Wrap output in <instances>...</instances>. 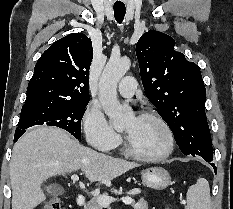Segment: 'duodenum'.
Masks as SVG:
<instances>
[{
	"instance_id": "obj_1",
	"label": "duodenum",
	"mask_w": 233,
	"mask_h": 209,
	"mask_svg": "<svg viewBox=\"0 0 233 209\" xmlns=\"http://www.w3.org/2000/svg\"><path fill=\"white\" fill-rule=\"evenodd\" d=\"M75 202H76V205H77V206L82 207V206L85 205L86 199H85V197H84L83 195H78V196L76 197Z\"/></svg>"
}]
</instances>
